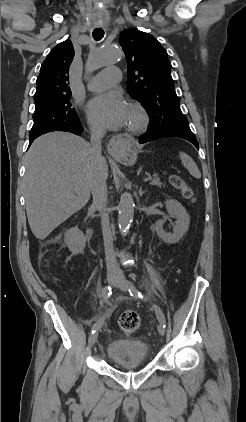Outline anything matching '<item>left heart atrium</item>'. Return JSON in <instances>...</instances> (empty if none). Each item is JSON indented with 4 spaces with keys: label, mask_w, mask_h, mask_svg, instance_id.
Instances as JSON below:
<instances>
[{
    "label": "left heart atrium",
    "mask_w": 246,
    "mask_h": 422,
    "mask_svg": "<svg viewBox=\"0 0 246 422\" xmlns=\"http://www.w3.org/2000/svg\"><path fill=\"white\" fill-rule=\"evenodd\" d=\"M89 119L100 127L120 128L127 124L129 108L118 92L102 93L90 100L87 106Z\"/></svg>",
    "instance_id": "left-heart-atrium-1"
}]
</instances>
